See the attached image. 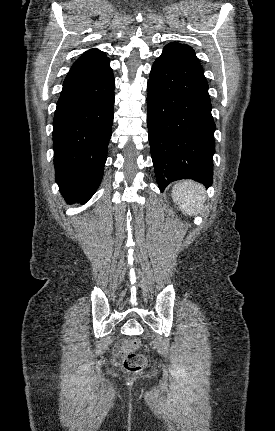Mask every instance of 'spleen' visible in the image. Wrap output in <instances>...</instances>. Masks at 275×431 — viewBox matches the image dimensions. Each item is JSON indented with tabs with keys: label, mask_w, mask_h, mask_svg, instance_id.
<instances>
[{
	"label": "spleen",
	"mask_w": 275,
	"mask_h": 431,
	"mask_svg": "<svg viewBox=\"0 0 275 431\" xmlns=\"http://www.w3.org/2000/svg\"><path fill=\"white\" fill-rule=\"evenodd\" d=\"M172 199L183 213L192 216L203 207L205 188L191 180L180 181L172 188Z\"/></svg>",
	"instance_id": "obj_1"
}]
</instances>
